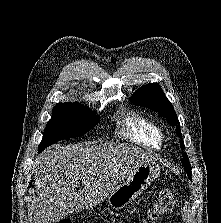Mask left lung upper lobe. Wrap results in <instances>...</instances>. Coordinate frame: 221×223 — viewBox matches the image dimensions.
<instances>
[{"label":"left lung upper lobe","instance_id":"1","mask_svg":"<svg viewBox=\"0 0 221 223\" xmlns=\"http://www.w3.org/2000/svg\"><path fill=\"white\" fill-rule=\"evenodd\" d=\"M130 101L134 105L147 107L160 116L166 118V120L172 125L176 126V132L181 137V131L179 126L178 117L174 111V108L170 101L165 97L161 87L157 83H150L139 88L130 98ZM182 149H184L183 140L180 141ZM183 166L188 177L191 179V165L186 153L183 154Z\"/></svg>","mask_w":221,"mask_h":223}]
</instances>
